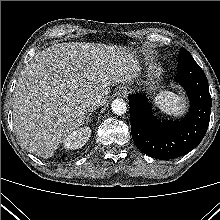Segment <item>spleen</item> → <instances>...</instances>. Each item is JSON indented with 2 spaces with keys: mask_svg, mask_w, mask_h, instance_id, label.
Masks as SVG:
<instances>
[{
  "mask_svg": "<svg viewBox=\"0 0 220 220\" xmlns=\"http://www.w3.org/2000/svg\"><path fill=\"white\" fill-rule=\"evenodd\" d=\"M155 103L163 112L173 117L183 115L187 107L184 96H178L170 91H161L155 97Z\"/></svg>",
  "mask_w": 220,
  "mask_h": 220,
  "instance_id": "obj_1",
  "label": "spleen"
}]
</instances>
